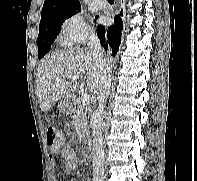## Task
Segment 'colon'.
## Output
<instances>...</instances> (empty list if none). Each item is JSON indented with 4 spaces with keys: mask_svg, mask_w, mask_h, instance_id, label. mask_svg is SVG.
Returning a JSON list of instances; mask_svg holds the SVG:
<instances>
[{
    "mask_svg": "<svg viewBox=\"0 0 197 181\" xmlns=\"http://www.w3.org/2000/svg\"><path fill=\"white\" fill-rule=\"evenodd\" d=\"M46 141L51 151H58L62 145V137L55 127H48L46 130Z\"/></svg>",
    "mask_w": 197,
    "mask_h": 181,
    "instance_id": "colon-1",
    "label": "colon"
}]
</instances>
